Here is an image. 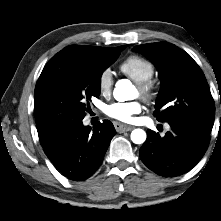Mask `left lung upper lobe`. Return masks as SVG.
Listing matches in <instances>:
<instances>
[{
	"instance_id": "obj_1",
	"label": "left lung upper lobe",
	"mask_w": 221,
	"mask_h": 221,
	"mask_svg": "<svg viewBox=\"0 0 221 221\" xmlns=\"http://www.w3.org/2000/svg\"><path fill=\"white\" fill-rule=\"evenodd\" d=\"M133 51L150 59L159 71L161 89L154 112L157 120L188 121L210 132L215 117L214 100L193 58L167 42L138 45Z\"/></svg>"
}]
</instances>
